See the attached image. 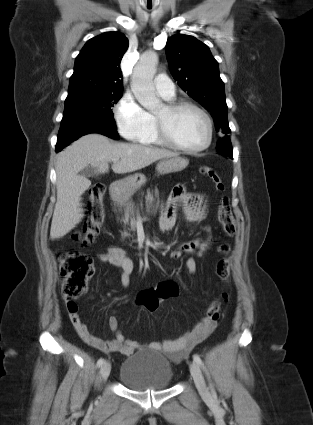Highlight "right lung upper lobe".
<instances>
[{
  "instance_id": "cb5924a9",
  "label": "right lung upper lobe",
  "mask_w": 313,
  "mask_h": 425,
  "mask_svg": "<svg viewBox=\"0 0 313 425\" xmlns=\"http://www.w3.org/2000/svg\"><path fill=\"white\" fill-rule=\"evenodd\" d=\"M128 45L119 32H105L87 41L76 57L68 94L123 91L120 62Z\"/></svg>"
}]
</instances>
